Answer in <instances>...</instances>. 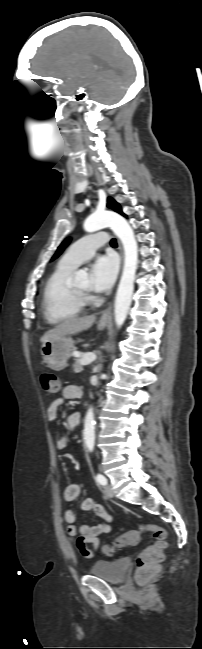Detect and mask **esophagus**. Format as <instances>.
Returning <instances> with one entry per match:
<instances>
[{
    "label": "esophagus",
    "instance_id": "34e87169",
    "mask_svg": "<svg viewBox=\"0 0 202 649\" xmlns=\"http://www.w3.org/2000/svg\"><path fill=\"white\" fill-rule=\"evenodd\" d=\"M119 249H120V254H121V258H122V249H121V245H120V244H119ZM110 315H111V307L109 306V307H108V308L103 312V314H102V319H107V318L110 317Z\"/></svg>",
    "mask_w": 202,
    "mask_h": 649
}]
</instances>
